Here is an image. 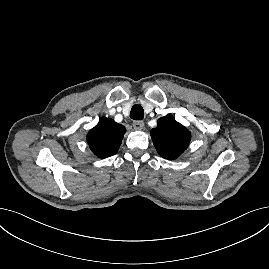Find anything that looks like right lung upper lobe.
<instances>
[{"mask_svg": "<svg viewBox=\"0 0 269 269\" xmlns=\"http://www.w3.org/2000/svg\"><path fill=\"white\" fill-rule=\"evenodd\" d=\"M126 129L110 118H101L87 135V142L92 152L99 158H106L117 153Z\"/></svg>", "mask_w": 269, "mask_h": 269, "instance_id": "cb5924a9", "label": "right lung upper lobe"}]
</instances>
